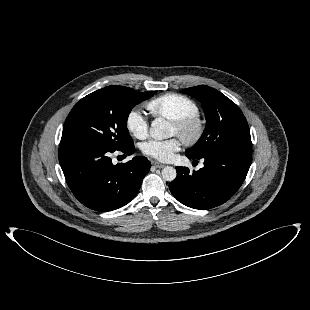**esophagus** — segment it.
I'll return each mask as SVG.
<instances>
[{"mask_svg": "<svg viewBox=\"0 0 310 310\" xmlns=\"http://www.w3.org/2000/svg\"><path fill=\"white\" fill-rule=\"evenodd\" d=\"M152 165H153L155 168H159V169H161V168L164 167L163 164H161V163H159V162H157V161H153V162H152Z\"/></svg>", "mask_w": 310, "mask_h": 310, "instance_id": "esophagus-1", "label": "esophagus"}]
</instances>
